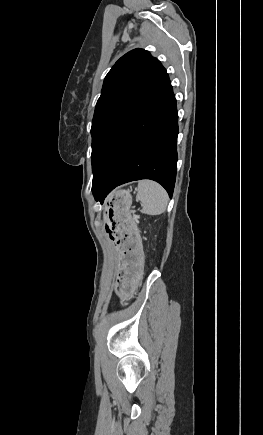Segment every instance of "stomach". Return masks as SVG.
I'll return each instance as SVG.
<instances>
[{"instance_id": "stomach-1", "label": "stomach", "mask_w": 263, "mask_h": 435, "mask_svg": "<svg viewBox=\"0 0 263 435\" xmlns=\"http://www.w3.org/2000/svg\"><path fill=\"white\" fill-rule=\"evenodd\" d=\"M132 197L129 190H118L110 198L107 206V216H103L104 233H109L113 247H118L122 268L115 269L114 286L118 288L120 299H133L135 288H142L144 261L143 238L139 233L136 216H132L129 208Z\"/></svg>"}]
</instances>
